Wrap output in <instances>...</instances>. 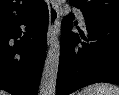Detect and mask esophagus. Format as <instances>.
Instances as JSON below:
<instances>
[{"label": "esophagus", "mask_w": 119, "mask_h": 95, "mask_svg": "<svg viewBox=\"0 0 119 95\" xmlns=\"http://www.w3.org/2000/svg\"><path fill=\"white\" fill-rule=\"evenodd\" d=\"M49 10V25L47 32V45L51 46L58 32L59 26V8L55 0H47Z\"/></svg>", "instance_id": "34e87169"}]
</instances>
